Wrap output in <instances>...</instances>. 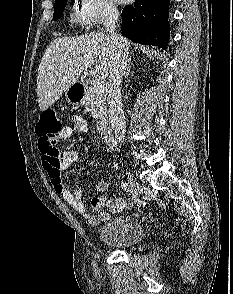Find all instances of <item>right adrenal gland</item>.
<instances>
[{"label":"right adrenal gland","mask_w":233,"mask_h":294,"mask_svg":"<svg viewBox=\"0 0 233 294\" xmlns=\"http://www.w3.org/2000/svg\"><path fill=\"white\" fill-rule=\"evenodd\" d=\"M130 69H131V59L128 60V65H127V71L125 72V77H127L130 73Z\"/></svg>","instance_id":"1"}]
</instances>
